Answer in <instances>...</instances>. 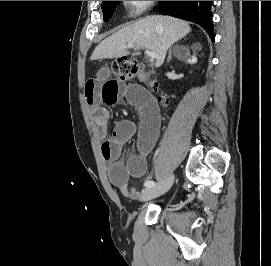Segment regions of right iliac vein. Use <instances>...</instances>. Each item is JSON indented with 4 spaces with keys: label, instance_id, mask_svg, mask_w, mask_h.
Here are the masks:
<instances>
[{
    "label": "right iliac vein",
    "instance_id": "1",
    "mask_svg": "<svg viewBox=\"0 0 271 266\" xmlns=\"http://www.w3.org/2000/svg\"><path fill=\"white\" fill-rule=\"evenodd\" d=\"M173 181L174 175H170L161 185L143 189L141 201L151 200L163 195L171 188Z\"/></svg>",
    "mask_w": 271,
    "mask_h": 266
}]
</instances>
